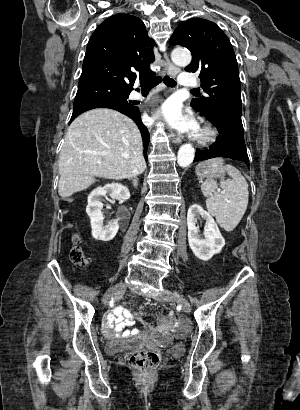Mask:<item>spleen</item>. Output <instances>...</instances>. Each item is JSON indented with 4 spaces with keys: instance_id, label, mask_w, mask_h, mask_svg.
<instances>
[{
    "instance_id": "1",
    "label": "spleen",
    "mask_w": 300,
    "mask_h": 410,
    "mask_svg": "<svg viewBox=\"0 0 300 410\" xmlns=\"http://www.w3.org/2000/svg\"><path fill=\"white\" fill-rule=\"evenodd\" d=\"M224 169L232 179L221 181L222 192L219 193L217 183L207 179L201 185L209 213L215 216L218 224L227 232L232 231L241 221L248 205V184L240 171L232 165Z\"/></svg>"
}]
</instances>
